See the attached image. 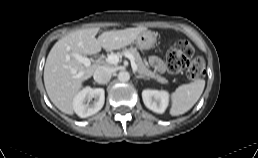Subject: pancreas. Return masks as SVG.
<instances>
[{
    "instance_id": "1",
    "label": "pancreas",
    "mask_w": 258,
    "mask_h": 158,
    "mask_svg": "<svg viewBox=\"0 0 258 158\" xmlns=\"http://www.w3.org/2000/svg\"><path fill=\"white\" fill-rule=\"evenodd\" d=\"M125 53H130L133 55L136 66H137V71L141 76L148 77V78H154L162 84L167 83V80L164 77L160 76L156 72L151 71L150 69H148L145 66L139 52L135 48H132V47L129 49L125 48V49H123L122 54L124 55ZM118 55H120V54H118Z\"/></svg>"
}]
</instances>
